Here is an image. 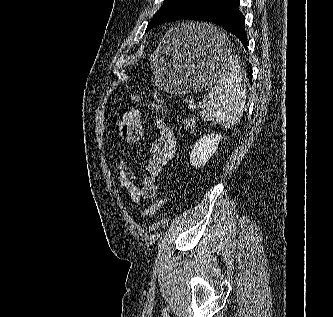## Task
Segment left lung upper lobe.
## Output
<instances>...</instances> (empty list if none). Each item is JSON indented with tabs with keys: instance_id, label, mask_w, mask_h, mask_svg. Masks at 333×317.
Here are the masks:
<instances>
[{
	"instance_id": "1",
	"label": "left lung upper lobe",
	"mask_w": 333,
	"mask_h": 317,
	"mask_svg": "<svg viewBox=\"0 0 333 317\" xmlns=\"http://www.w3.org/2000/svg\"><path fill=\"white\" fill-rule=\"evenodd\" d=\"M214 0H165L162 7L154 14L146 31L169 21L184 19L191 11L207 5Z\"/></svg>"
}]
</instances>
